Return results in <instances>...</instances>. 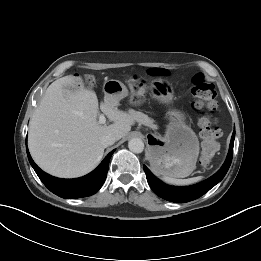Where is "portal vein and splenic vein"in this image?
<instances>
[{
    "label": "portal vein and splenic vein",
    "mask_w": 261,
    "mask_h": 261,
    "mask_svg": "<svg viewBox=\"0 0 261 261\" xmlns=\"http://www.w3.org/2000/svg\"><path fill=\"white\" fill-rule=\"evenodd\" d=\"M106 122V118H105V116L103 115V114H101L100 116H99V123L100 124H104Z\"/></svg>",
    "instance_id": "obj_1"
}]
</instances>
